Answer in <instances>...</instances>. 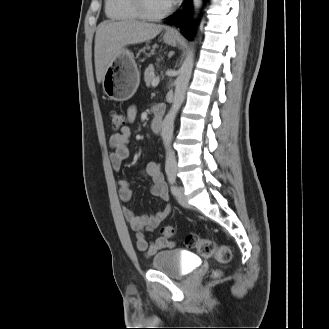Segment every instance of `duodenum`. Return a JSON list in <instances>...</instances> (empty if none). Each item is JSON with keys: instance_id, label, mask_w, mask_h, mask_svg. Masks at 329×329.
<instances>
[{"instance_id": "duodenum-1", "label": "duodenum", "mask_w": 329, "mask_h": 329, "mask_svg": "<svg viewBox=\"0 0 329 329\" xmlns=\"http://www.w3.org/2000/svg\"><path fill=\"white\" fill-rule=\"evenodd\" d=\"M164 118V108L156 106L154 108L153 118L151 120V129L154 133H159L162 129Z\"/></svg>"}]
</instances>
